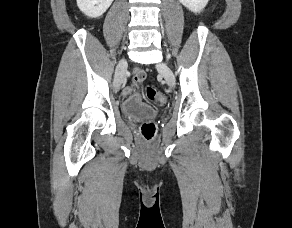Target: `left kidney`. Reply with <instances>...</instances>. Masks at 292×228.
<instances>
[{
  "label": "left kidney",
  "mask_w": 292,
  "mask_h": 228,
  "mask_svg": "<svg viewBox=\"0 0 292 228\" xmlns=\"http://www.w3.org/2000/svg\"><path fill=\"white\" fill-rule=\"evenodd\" d=\"M182 5L194 13L201 12L207 5L209 0H179Z\"/></svg>",
  "instance_id": "5707ae66"
}]
</instances>
